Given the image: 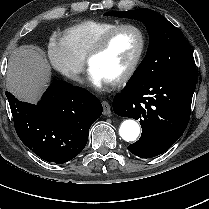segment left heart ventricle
I'll use <instances>...</instances> for the list:
<instances>
[{"mask_svg": "<svg viewBox=\"0 0 209 209\" xmlns=\"http://www.w3.org/2000/svg\"><path fill=\"white\" fill-rule=\"evenodd\" d=\"M139 46L136 31H119L113 35L106 49L92 60L90 67L95 68L107 81L116 80L127 71Z\"/></svg>", "mask_w": 209, "mask_h": 209, "instance_id": "1", "label": "left heart ventricle"}]
</instances>
